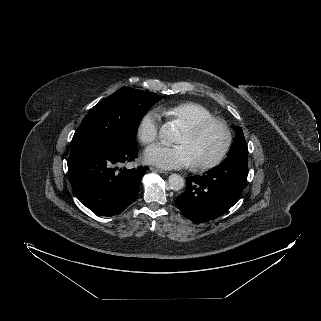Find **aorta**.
I'll return each instance as SVG.
<instances>
[{
    "instance_id": "obj_1",
    "label": "aorta",
    "mask_w": 321,
    "mask_h": 321,
    "mask_svg": "<svg viewBox=\"0 0 321 321\" xmlns=\"http://www.w3.org/2000/svg\"><path fill=\"white\" fill-rule=\"evenodd\" d=\"M160 135L169 141H174L178 131L171 122H168L161 127ZM168 185L174 191L181 190L184 187V179L178 174H171L168 178Z\"/></svg>"
}]
</instances>
